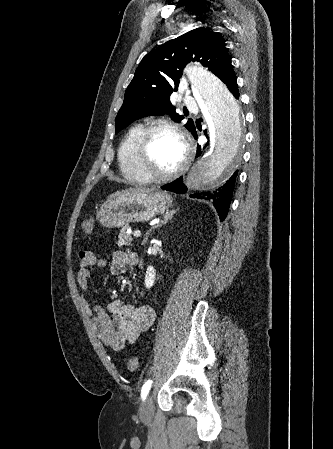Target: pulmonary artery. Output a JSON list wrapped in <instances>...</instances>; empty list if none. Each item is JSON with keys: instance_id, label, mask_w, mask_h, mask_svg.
<instances>
[{"instance_id": "e3ab8cb5", "label": "pulmonary artery", "mask_w": 333, "mask_h": 449, "mask_svg": "<svg viewBox=\"0 0 333 449\" xmlns=\"http://www.w3.org/2000/svg\"><path fill=\"white\" fill-rule=\"evenodd\" d=\"M183 102H184V105L186 107H188L189 109H195V107H196V101L191 96H187V95L184 96Z\"/></svg>"}]
</instances>
